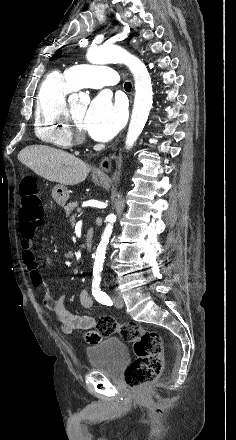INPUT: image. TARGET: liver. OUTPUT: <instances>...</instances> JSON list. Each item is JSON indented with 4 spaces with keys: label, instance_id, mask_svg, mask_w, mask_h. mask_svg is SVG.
Here are the masks:
<instances>
[{
    "label": "liver",
    "instance_id": "6515ba94",
    "mask_svg": "<svg viewBox=\"0 0 236 440\" xmlns=\"http://www.w3.org/2000/svg\"><path fill=\"white\" fill-rule=\"evenodd\" d=\"M18 160L38 176L60 185H77L91 170L74 155L45 145L25 147L18 154Z\"/></svg>",
    "mask_w": 236,
    "mask_h": 440
}]
</instances>
